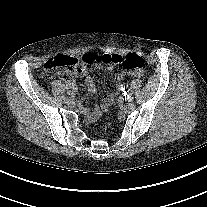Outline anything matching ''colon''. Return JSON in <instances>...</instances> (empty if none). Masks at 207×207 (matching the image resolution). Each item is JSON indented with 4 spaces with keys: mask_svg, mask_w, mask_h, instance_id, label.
<instances>
[{
    "mask_svg": "<svg viewBox=\"0 0 207 207\" xmlns=\"http://www.w3.org/2000/svg\"><path fill=\"white\" fill-rule=\"evenodd\" d=\"M97 62L115 65L120 64L125 70H139L144 66L143 58L132 53L125 56L118 54H87L81 60L72 55L62 54L48 61L45 64V70L48 72L64 70L66 72V80H70V73H74L81 64L89 65Z\"/></svg>",
    "mask_w": 207,
    "mask_h": 207,
    "instance_id": "5ec220e1",
    "label": "colon"
}]
</instances>
